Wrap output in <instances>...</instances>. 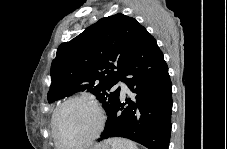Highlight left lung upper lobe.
I'll return each mask as SVG.
<instances>
[{
	"label": "left lung upper lobe",
	"instance_id": "obj_1",
	"mask_svg": "<svg viewBox=\"0 0 227 149\" xmlns=\"http://www.w3.org/2000/svg\"><path fill=\"white\" fill-rule=\"evenodd\" d=\"M143 26L121 13L100 19L57 49L52 62L49 103L79 91L93 93L107 111L119 98L127 63Z\"/></svg>",
	"mask_w": 227,
	"mask_h": 149
}]
</instances>
